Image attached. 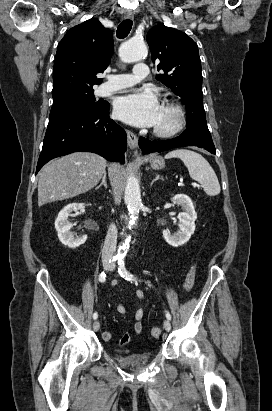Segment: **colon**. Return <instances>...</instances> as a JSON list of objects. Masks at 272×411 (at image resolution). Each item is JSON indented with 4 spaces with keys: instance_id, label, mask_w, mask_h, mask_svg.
Listing matches in <instances>:
<instances>
[{
    "instance_id": "colon-1",
    "label": "colon",
    "mask_w": 272,
    "mask_h": 411,
    "mask_svg": "<svg viewBox=\"0 0 272 411\" xmlns=\"http://www.w3.org/2000/svg\"><path fill=\"white\" fill-rule=\"evenodd\" d=\"M195 275H196V265H193L185 279L184 283V289L186 291H190L194 285L195 282ZM151 337L152 338H159L162 334V329L160 327H153L150 331Z\"/></svg>"
}]
</instances>
